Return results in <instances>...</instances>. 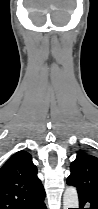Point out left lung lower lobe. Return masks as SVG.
I'll return each mask as SVG.
<instances>
[{"mask_svg":"<svg viewBox=\"0 0 98 209\" xmlns=\"http://www.w3.org/2000/svg\"><path fill=\"white\" fill-rule=\"evenodd\" d=\"M78 197H79V209H86L84 208V206L87 203L90 204V207L88 209H98V202L85 196L78 195Z\"/></svg>","mask_w":98,"mask_h":209,"instance_id":"1","label":"left lung lower lobe"}]
</instances>
